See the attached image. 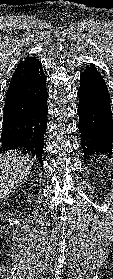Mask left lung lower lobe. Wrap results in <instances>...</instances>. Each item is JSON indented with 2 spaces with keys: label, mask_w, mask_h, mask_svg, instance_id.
Returning a JSON list of instances; mask_svg holds the SVG:
<instances>
[{
  "label": "left lung lower lobe",
  "mask_w": 113,
  "mask_h": 279,
  "mask_svg": "<svg viewBox=\"0 0 113 279\" xmlns=\"http://www.w3.org/2000/svg\"><path fill=\"white\" fill-rule=\"evenodd\" d=\"M80 81L78 128L84 159L112 155L113 118L106 83L94 65L84 70Z\"/></svg>",
  "instance_id": "obj_1"
}]
</instances>
